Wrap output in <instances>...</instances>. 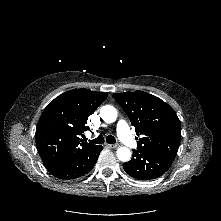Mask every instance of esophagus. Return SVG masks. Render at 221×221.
Returning <instances> with one entry per match:
<instances>
[{
    "mask_svg": "<svg viewBox=\"0 0 221 221\" xmlns=\"http://www.w3.org/2000/svg\"><path fill=\"white\" fill-rule=\"evenodd\" d=\"M118 146V144H106V147L108 148H117Z\"/></svg>",
    "mask_w": 221,
    "mask_h": 221,
    "instance_id": "esophagus-1",
    "label": "esophagus"
}]
</instances>
